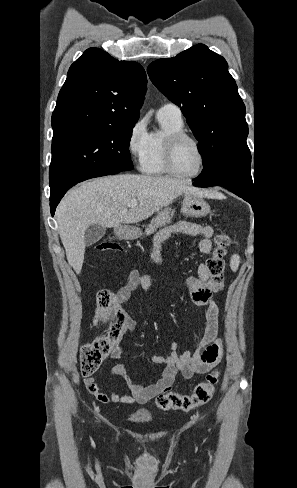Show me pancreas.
I'll list each match as a JSON object with an SVG mask.
<instances>
[{
    "mask_svg": "<svg viewBox=\"0 0 297 488\" xmlns=\"http://www.w3.org/2000/svg\"><path fill=\"white\" fill-rule=\"evenodd\" d=\"M174 210L171 208H165L157 213L156 217L152 219L150 224L147 226L145 233L147 236L153 234L158 228L170 224L172 222Z\"/></svg>",
    "mask_w": 297,
    "mask_h": 488,
    "instance_id": "1",
    "label": "pancreas"
}]
</instances>
